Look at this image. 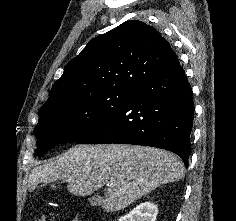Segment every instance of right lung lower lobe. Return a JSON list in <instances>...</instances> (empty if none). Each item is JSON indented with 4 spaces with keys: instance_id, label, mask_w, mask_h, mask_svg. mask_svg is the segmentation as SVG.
Returning <instances> with one entry per match:
<instances>
[{
    "instance_id": "right-lung-lower-lobe-1",
    "label": "right lung lower lobe",
    "mask_w": 236,
    "mask_h": 221,
    "mask_svg": "<svg viewBox=\"0 0 236 221\" xmlns=\"http://www.w3.org/2000/svg\"><path fill=\"white\" fill-rule=\"evenodd\" d=\"M193 118L192 89L177 59L136 87L127 102L77 143L163 148L179 155L187 167Z\"/></svg>"
}]
</instances>
